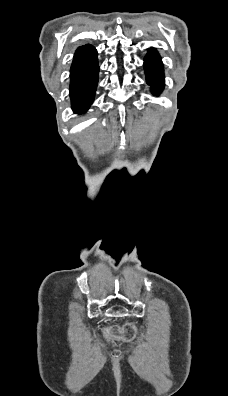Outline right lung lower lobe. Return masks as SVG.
<instances>
[{"instance_id": "98d812e1", "label": "right lung lower lobe", "mask_w": 228, "mask_h": 396, "mask_svg": "<svg viewBox=\"0 0 228 396\" xmlns=\"http://www.w3.org/2000/svg\"><path fill=\"white\" fill-rule=\"evenodd\" d=\"M98 73L96 49L90 45L79 47L70 70V98L75 113L85 112L92 104Z\"/></svg>"}]
</instances>
